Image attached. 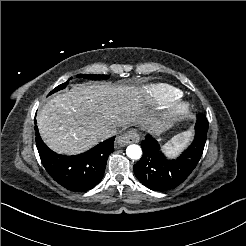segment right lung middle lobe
<instances>
[{"label": "right lung middle lobe", "mask_w": 246, "mask_h": 246, "mask_svg": "<svg viewBox=\"0 0 246 246\" xmlns=\"http://www.w3.org/2000/svg\"><path fill=\"white\" fill-rule=\"evenodd\" d=\"M79 78H85V79H90V80H93V79H107L109 76L108 75H92V74H79L78 75ZM68 84V81L57 86L54 90H52L50 94L56 92V91H59L61 89H64L66 87V85Z\"/></svg>", "instance_id": "1"}]
</instances>
